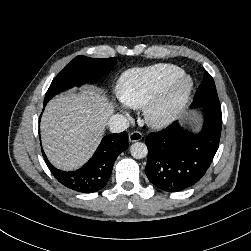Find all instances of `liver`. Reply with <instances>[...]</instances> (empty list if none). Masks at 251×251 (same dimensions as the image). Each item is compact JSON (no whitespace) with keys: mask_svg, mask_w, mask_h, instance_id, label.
Instances as JSON below:
<instances>
[{"mask_svg":"<svg viewBox=\"0 0 251 251\" xmlns=\"http://www.w3.org/2000/svg\"><path fill=\"white\" fill-rule=\"evenodd\" d=\"M113 111L107 97L92 88L52 99L40 126L43 148L51 163L63 170L81 167L98 146Z\"/></svg>","mask_w":251,"mask_h":251,"instance_id":"liver-1","label":"liver"}]
</instances>
